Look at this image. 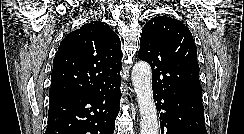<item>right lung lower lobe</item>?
Returning <instances> with one entry per match:
<instances>
[{"label":"right lung lower lobe","instance_id":"obj_1","mask_svg":"<svg viewBox=\"0 0 244 134\" xmlns=\"http://www.w3.org/2000/svg\"><path fill=\"white\" fill-rule=\"evenodd\" d=\"M118 77L108 86L50 101L45 134H113L120 110Z\"/></svg>","mask_w":244,"mask_h":134}]
</instances>
